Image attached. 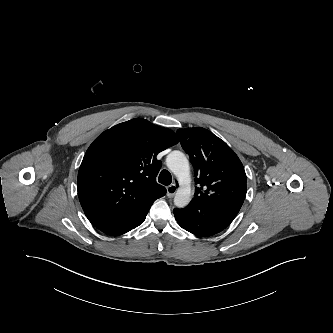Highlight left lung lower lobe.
Listing matches in <instances>:
<instances>
[{"label":"left lung lower lobe","mask_w":333,"mask_h":333,"mask_svg":"<svg viewBox=\"0 0 333 333\" xmlns=\"http://www.w3.org/2000/svg\"><path fill=\"white\" fill-rule=\"evenodd\" d=\"M240 193H227L205 200H192L184 209H174L178 224L198 236H211L225 229L243 204Z\"/></svg>","instance_id":"obj_1"}]
</instances>
